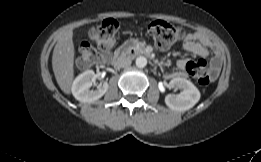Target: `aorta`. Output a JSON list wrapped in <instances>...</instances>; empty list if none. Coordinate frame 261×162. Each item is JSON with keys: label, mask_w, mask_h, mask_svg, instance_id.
<instances>
[{"label": "aorta", "mask_w": 261, "mask_h": 162, "mask_svg": "<svg viewBox=\"0 0 261 162\" xmlns=\"http://www.w3.org/2000/svg\"><path fill=\"white\" fill-rule=\"evenodd\" d=\"M147 65V59L145 57H138L136 59V66L139 68H144Z\"/></svg>", "instance_id": "aorta-1"}]
</instances>
